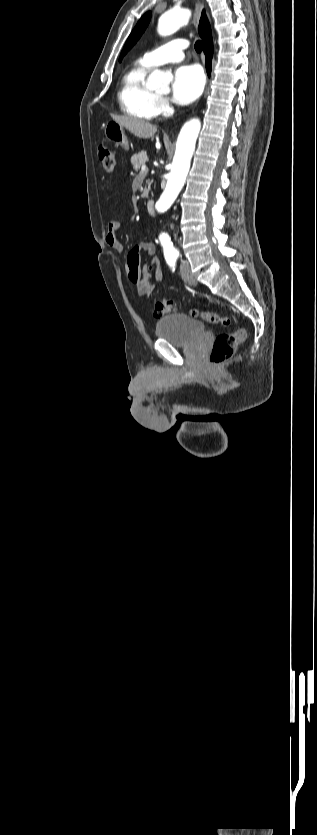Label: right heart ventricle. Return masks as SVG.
Returning <instances> with one entry per match:
<instances>
[{
    "label": "right heart ventricle",
    "mask_w": 317,
    "mask_h": 835,
    "mask_svg": "<svg viewBox=\"0 0 317 835\" xmlns=\"http://www.w3.org/2000/svg\"><path fill=\"white\" fill-rule=\"evenodd\" d=\"M149 68L150 66L142 59L135 62L123 75L118 90V100L122 111L142 120H150L157 116L159 96L145 84Z\"/></svg>",
    "instance_id": "obj_1"
}]
</instances>
